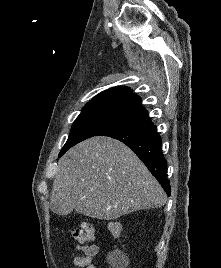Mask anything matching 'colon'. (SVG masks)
<instances>
[{
	"label": "colon",
	"instance_id": "1",
	"mask_svg": "<svg viewBox=\"0 0 221 268\" xmlns=\"http://www.w3.org/2000/svg\"><path fill=\"white\" fill-rule=\"evenodd\" d=\"M109 229L114 236L118 237L122 233V224L112 221L109 223ZM71 234L78 243L87 244L94 240L95 229L89 223H82L79 227L73 228Z\"/></svg>",
	"mask_w": 221,
	"mask_h": 268
}]
</instances>
